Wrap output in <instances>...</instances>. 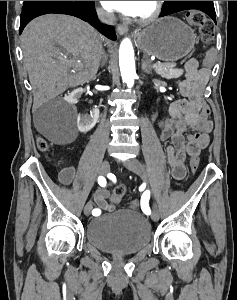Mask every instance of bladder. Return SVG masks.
I'll return each instance as SVG.
<instances>
[{
  "mask_svg": "<svg viewBox=\"0 0 237 300\" xmlns=\"http://www.w3.org/2000/svg\"><path fill=\"white\" fill-rule=\"evenodd\" d=\"M87 241L111 254H136L151 241V225L138 211L123 209L92 218L86 227Z\"/></svg>",
  "mask_w": 237,
  "mask_h": 300,
  "instance_id": "31cf9c89",
  "label": "bladder"
}]
</instances>
